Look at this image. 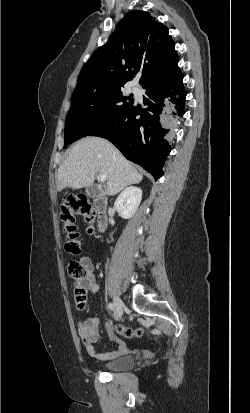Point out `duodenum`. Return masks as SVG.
Listing matches in <instances>:
<instances>
[{
	"label": "duodenum",
	"mask_w": 250,
	"mask_h": 413,
	"mask_svg": "<svg viewBox=\"0 0 250 413\" xmlns=\"http://www.w3.org/2000/svg\"><path fill=\"white\" fill-rule=\"evenodd\" d=\"M96 224L99 231H104L108 225V206L106 199L98 195L94 198Z\"/></svg>",
	"instance_id": "1"
}]
</instances>
